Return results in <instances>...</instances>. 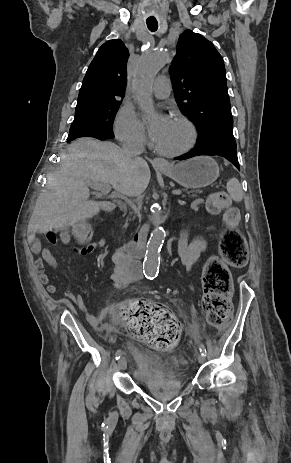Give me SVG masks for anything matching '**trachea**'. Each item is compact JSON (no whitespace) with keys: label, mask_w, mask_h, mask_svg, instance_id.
I'll return each instance as SVG.
<instances>
[{"label":"trachea","mask_w":291,"mask_h":463,"mask_svg":"<svg viewBox=\"0 0 291 463\" xmlns=\"http://www.w3.org/2000/svg\"><path fill=\"white\" fill-rule=\"evenodd\" d=\"M147 27L150 31L155 32L158 29V23L157 22H152V21H147Z\"/></svg>","instance_id":"1"}]
</instances>
